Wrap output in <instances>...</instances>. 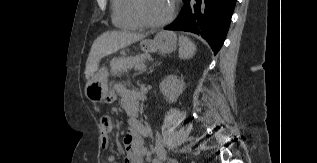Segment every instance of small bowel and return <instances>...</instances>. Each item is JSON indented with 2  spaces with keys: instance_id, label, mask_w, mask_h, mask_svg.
Here are the masks:
<instances>
[{
  "instance_id": "1",
  "label": "small bowel",
  "mask_w": 317,
  "mask_h": 163,
  "mask_svg": "<svg viewBox=\"0 0 317 163\" xmlns=\"http://www.w3.org/2000/svg\"><path fill=\"white\" fill-rule=\"evenodd\" d=\"M113 98L119 97L122 107L131 115L128 120L130 130L124 137V145L126 149L125 163H161L157 156L152 155V151L145 147L144 138L148 137L149 133L146 127L140 123L136 115L139 111V94L126 87L123 84L115 86ZM113 127L112 119L105 117L100 122L101 131V148L110 150L112 148L111 131ZM158 154V149H153ZM109 163H117L116 156L110 154L108 156Z\"/></svg>"
}]
</instances>
